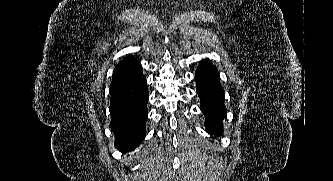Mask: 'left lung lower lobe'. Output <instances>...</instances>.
Listing matches in <instances>:
<instances>
[{
    "instance_id": "left-lung-lower-lobe-1",
    "label": "left lung lower lobe",
    "mask_w": 333,
    "mask_h": 181,
    "mask_svg": "<svg viewBox=\"0 0 333 181\" xmlns=\"http://www.w3.org/2000/svg\"><path fill=\"white\" fill-rule=\"evenodd\" d=\"M196 89L201 99V110L206 117L205 126L209 133L222 134L221 121L226 116L224 90L220 85L217 69L208 60L201 61L196 71Z\"/></svg>"
}]
</instances>
